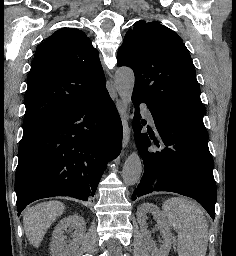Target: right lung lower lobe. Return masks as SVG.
I'll list each match as a JSON object with an SVG mask.
<instances>
[{
  "mask_svg": "<svg viewBox=\"0 0 236 256\" xmlns=\"http://www.w3.org/2000/svg\"><path fill=\"white\" fill-rule=\"evenodd\" d=\"M122 135L107 90L24 135L15 175L18 216L38 199L94 196L107 163L120 153Z\"/></svg>",
  "mask_w": 236,
  "mask_h": 256,
  "instance_id": "1",
  "label": "right lung lower lobe"
}]
</instances>
